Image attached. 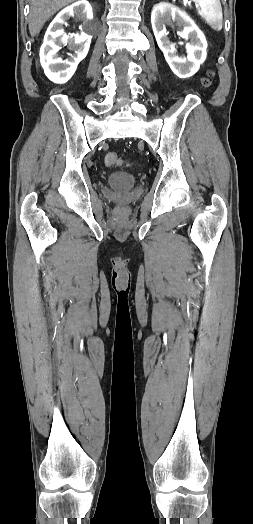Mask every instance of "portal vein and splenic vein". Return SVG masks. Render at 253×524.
Instances as JSON below:
<instances>
[{
	"mask_svg": "<svg viewBox=\"0 0 253 524\" xmlns=\"http://www.w3.org/2000/svg\"><path fill=\"white\" fill-rule=\"evenodd\" d=\"M190 2L188 0H184V4H189Z\"/></svg>",
	"mask_w": 253,
	"mask_h": 524,
	"instance_id": "portal-vein-and-splenic-vein-1",
	"label": "portal vein and splenic vein"
}]
</instances>
